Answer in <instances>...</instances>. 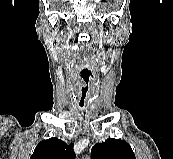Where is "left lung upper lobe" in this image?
<instances>
[{"label": "left lung upper lobe", "mask_w": 173, "mask_h": 159, "mask_svg": "<svg viewBox=\"0 0 173 159\" xmlns=\"http://www.w3.org/2000/svg\"><path fill=\"white\" fill-rule=\"evenodd\" d=\"M91 153L92 159H136L131 146L121 139L109 138L95 144Z\"/></svg>", "instance_id": "1"}]
</instances>
